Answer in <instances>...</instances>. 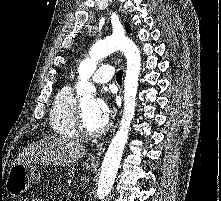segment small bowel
Masks as SVG:
<instances>
[{
    "instance_id": "c3829d8e",
    "label": "small bowel",
    "mask_w": 221,
    "mask_h": 201,
    "mask_svg": "<svg viewBox=\"0 0 221 201\" xmlns=\"http://www.w3.org/2000/svg\"><path fill=\"white\" fill-rule=\"evenodd\" d=\"M30 201H45V200L42 197L35 196V197L31 198Z\"/></svg>"
}]
</instances>
